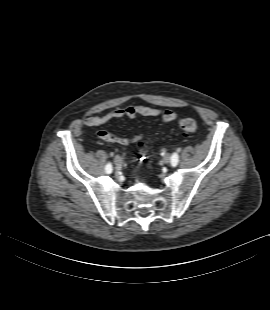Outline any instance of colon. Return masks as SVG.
Instances as JSON below:
<instances>
[{
  "label": "colon",
  "instance_id": "colon-1",
  "mask_svg": "<svg viewBox=\"0 0 270 310\" xmlns=\"http://www.w3.org/2000/svg\"><path fill=\"white\" fill-rule=\"evenodd\" d=\"M179 127L186 134L195 133L198 129L197 122L192 118H180ZM140 151L144 154L143 144L140 143Z\"/></svg>",
  "mask_w": 270,
  "mask_h": 310
}]
</instances>
